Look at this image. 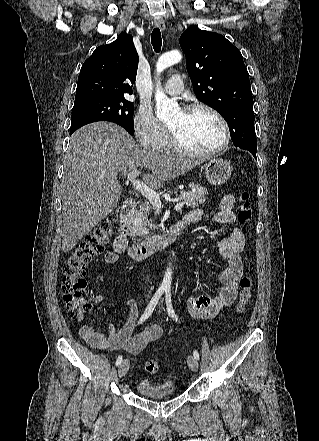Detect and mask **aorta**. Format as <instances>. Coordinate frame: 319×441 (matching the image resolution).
<instances>
[{"label":"aorta","instance_id":"aorta-1","mask_svg":"<svg viewBox=\"0 0 319 441\" xmlns=\"http://www.w3.org/2000/svg\"><path fill=\"white\" fill-rule=\"evenodd\" d=\"M182 59V54L178 50L167 52L160 56L156 63L157 75L160 74L166 68L179 63ZM156 101V116L161 121L170 120L174 113L178 111V104L169 99L166 94L160 89V82L157 81V88L155 92ZM172 282V270L167 268L161 286L169 288Z\"/></svg>","mask_w":319,"mask_h":441}]
</instances>
